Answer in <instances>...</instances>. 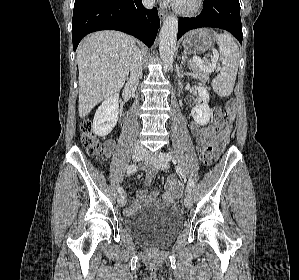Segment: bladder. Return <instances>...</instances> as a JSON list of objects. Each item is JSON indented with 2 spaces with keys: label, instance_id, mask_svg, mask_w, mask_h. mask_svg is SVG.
<instances>
[{
  "label": "bladder",
  "instance_id": "31cf9c89",
  "mask_svg": "<svg viewBox=\"0 0 299 280\" xmlns=\"http://www.w3.org/2000/svg\"><path fill=\"white\" fill-rule=\"evenodd\" d=\"M125 227L140 243L161 248L170 244L179 233L182 217L172 208H147L128 217Z\"/></svg>",
  "mask_w": 299,
  "mask_h": 280
}]
</instances>
